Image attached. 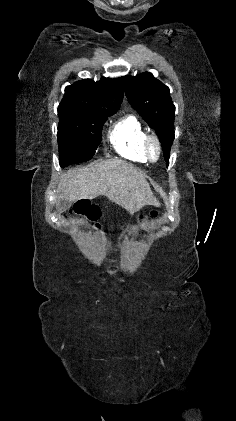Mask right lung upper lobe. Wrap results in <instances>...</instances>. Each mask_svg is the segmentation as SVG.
<instances>
[{
    "mask_svg": "<svg viewBox=\"0 0 236 421\" xmlns=\"http://www.w3.org/2000/svg\"><path fill=\"white\" fill-rule=\"evenodd\" d=\"M122 99L123 85L121 80L103 77L97 82L81 80L66 87L61 103L119 109Z\"/></svg>",
    "mask_w": 236,
    "mask_h": 421,
    "instance_id": "obj_1",
    "label": "right lung upper lobe"
}]
</instances>
